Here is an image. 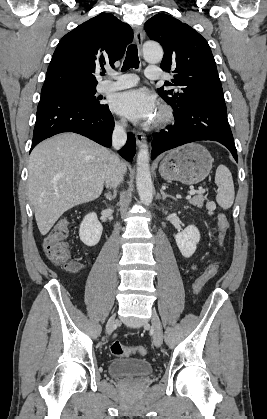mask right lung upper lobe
<instances>
[{"label": "right lung upper lobe", "instance_id": "cb5924a9", "mask_svg": "<svg viewBox=\"0 0 267 419\" xmlns=\"http://www.w3.org/2000/svg\"><path fill=\"white\" fill-rule=\"evenodd\" d=\"M133 39L131 27L112 14H101L66 34L57 45L49 64L42 92L64 86L96 87L95 73L124 55Z\"/></svg>", "mask_w": 267, "mask_h": 419}]
</instances>
